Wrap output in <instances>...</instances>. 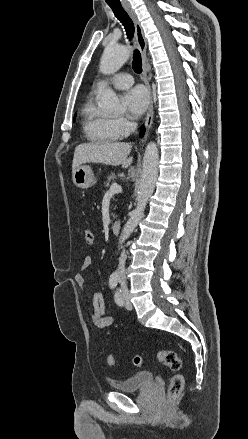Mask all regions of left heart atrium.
Returning a JSON list of instances; mask_svg holds the SVG:
<instances>
[{
  "mask_svg": "<svg viewBox=\"0 0 248 439\" xmlns=\"http://www.w3.org/2000/svg\"><path fill=\"white\" fill-rule=\"evenodd\" d=\"M123 102L129 111L135 117L141 116L148 107L149 95L142 86H136L128 90L123 96Z\"/></svg>",
  "mask_w": 248,
  "mask_h": 439,
  "instance_id": "39dd6f15",
  "label": "left heart atrium"
}]
</instances>
